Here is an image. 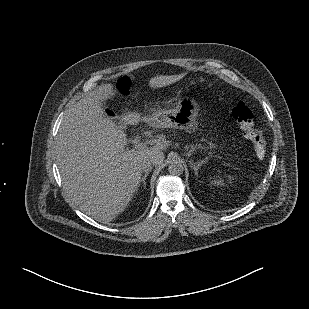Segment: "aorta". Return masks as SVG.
Listing matches in <instances>:
<instances>
[{"label":"aorta","instance_id":"aorta-1","mask_svg":"<svg viewBox=\"0 0 309 309\" xmlns=\"http://www.w3.org/2000/svg\"><path fill=\"white\" fill-rule=\"evenodd\" d=\"M184 162L180 158H174L170 161L168 171L173 176L182 175L184 172Z\"/></svg>","mask_w":309,"mask_h":309}]
</instances>
